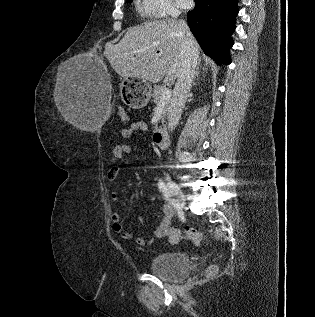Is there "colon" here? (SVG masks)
Returning a JSON list of instances; mask_svg holds the SVG:
<instances>
[{
    "mask_svg": "<svg viewBox=\"0 0 315 317\" xmlns=\"http://www.w3.org/2000/svg\"><path fill=\"white\" fill-rule=\"evenodd\" d=\"M120 116L122 119H126L127 114L124 109L120 110ZM167 238L171 242H177L180 239H186L191 241L195 245H199L202 240V235L199 231L191 227H187L184 230H181L177 227H170ZM216 272H217V268L215 266H211L207 270V275L213 276L216 274Z\"/></svg>",
    "mask_w": 315,
    "mask_h": 317,
    "instance_id": "colon-1",
    "label": "colon"
}]
</instances>
